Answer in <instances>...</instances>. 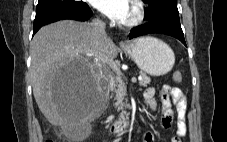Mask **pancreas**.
I'll list each match as a JSON object with an SVG mask.
<instances>
[{
  "mask_svg": "<svg viewBox=\"0 0 227 142\" xmlns=\"http://www.w3.org/2000/svg\"><path fill=\"white\" fill-rule=\"evenodd\" d=\"M140 77H141V79L139 80L140 86H147L148 84H150L151 79L145 73L141 72ZM113 88H116L115 89V93H116V95H115V100H116L115 106L118 108L119 111L121 110L123 114H126L125 108L128 106L126 104V101H127L126 91H127V89L124 86L122 79L119 77V74H118V76H116L114 78Z\"/></svg>",
  "mask_w": 227,
  "mask_h": 142,
  "instance_id": "obj_1",
  "label": "pancreas"
}]
</instances>
